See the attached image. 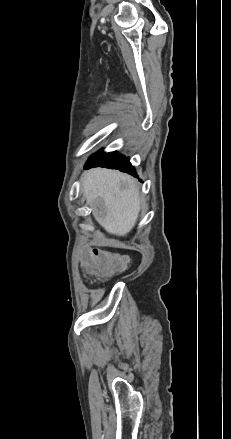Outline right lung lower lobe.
<instances>
[{"mask_svg":"<svg viewBox=\"0 0 231 439\" xmlns=\"http://www.w3.org/2000/svg\"><path fill=\"white\" fill-rule=\"evenodd\" d=\"M98 166L119 169L122 172H126L130 175L136 176L135 168L132 167L128 158L120 155L116 151L104 153L102 150H100L87 161L84 168L88 169Z\"/></svg>","mask_w":231,"mask_h":439,"instance_id":"98d812e1","label":"right lung lower lobe"}]
</instances>
